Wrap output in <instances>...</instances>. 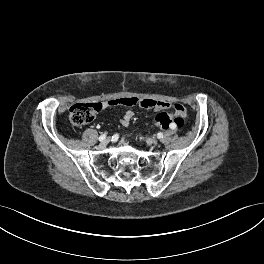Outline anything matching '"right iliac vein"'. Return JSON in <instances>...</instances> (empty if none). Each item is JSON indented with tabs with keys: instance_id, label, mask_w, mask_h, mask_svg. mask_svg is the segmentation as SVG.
Returning a JSON list of instances; mask_svg holds the SVG:
<instances>
[{
	"instance_id": "1",
	"label": "right iliac vein",
	"mask_w": 264,
	"mask_h": 264,
	"mask_svg": "<svg viewBox=\"0 0 264 264\" xmlns=\"http://www.w3.org/2000/svg\"><path fill=\"white\" fill-rule=\"evenodd\" d=\"M110 141H111V138H110V137H107L103 142H104L105 144H108Z\"/></svg>"
}]
</instances>
